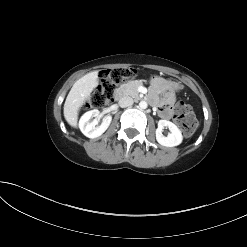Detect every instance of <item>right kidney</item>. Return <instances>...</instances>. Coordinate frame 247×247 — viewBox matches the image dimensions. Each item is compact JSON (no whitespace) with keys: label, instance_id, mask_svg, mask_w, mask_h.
<instances>
[{"label":"right kidney","instance_id":"obj_1","mask_svg":"<svg viewBox=\"0 0 247 247\" xmlns=\"http://www.w3.org/2000/svg\"><path fill=\"white\" fill-rule=\"evenodd\" d=\"M99 111L97 109L88 111L82 115L79 120V128L81 132L88 138H96L102 135L107 128L109 127L112 117L107 115L103 118V121L100 126L98 125L97 117L99 116ZM95 117L93 121H90L91 118Z\"/></svg>","mask_w":247,"mask_h":247}]
</instances>
